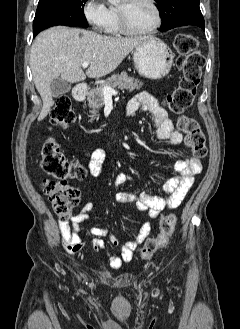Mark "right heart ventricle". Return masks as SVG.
Masks as SVG:
<instances>
[{"label": "right heart ventricle", "mask_w": 240, "mask_h": 329, "mask_svg": "<svg viewBox=\"0 0 240 329\" xmlns=\"http://www.w3.org/2000/svg\"><path fill=\"white\" fill-rule=\"evenodd\" d=\"M109 17L107 24L104 28L105 32L110 35H117L121 33L120 25H119V18L117 13V8L111 6L108 8Z\"/></svg>", "instance_id": "1"}]
</instances>
